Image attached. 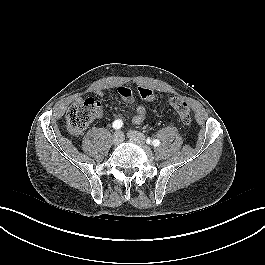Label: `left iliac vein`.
I'll return each instance as SVG.
<instances>
[{
	"instance_id": "obj_1",
	"label": "left iliac vein",
	"mask_w": 265,
	"mask_h": 265,
	"mask_svg": "<svg viewBox=\"0 0 265 265\" xmlns=\"http://www.w3.org/2000/svg\"><path fill=\"white\" fill-rule=\"evenodd\" d=\"M127 136L132 141L139 142V143L145 142V136L140 132L130 130V131H128Z\"/></svg>"
}]
</instances>
